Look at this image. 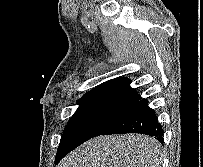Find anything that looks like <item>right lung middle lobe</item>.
Segmentation results:
<instances>
[{"mask_svg": "<svg viewBox=\"0 0 203 167\" xmlns=\"http://www.w3.org/2000/svg\"><path fill=\"white\" fill-rule=\"evenodd\" d=\"M70 118L60 145L70 152L83 142L103 134L132 107L102 101H79Z\"/></svg>", "mask_w": 203, "mask_h": 167, "instance_id": "obj_1", "label": "right lung middle lobe"}]
</instances>
